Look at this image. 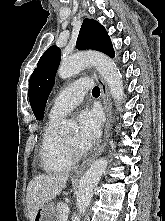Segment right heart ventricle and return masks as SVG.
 Segmentation results:
<instances>
[{
  "instance_id": "e07e8e85",
  "label": "right heart ventricle",
  "mask_w": 165,
  "mask_h": 221,
  "mask_svg": "<svg viewBox=\"0 0 165 221\" xmlns=\"http://www.w3.org/2000/svg\"><path fill=\"white\" fill-rule=\"evenodd\" d=\"M59 120L60 118H49L42 134L39 160L41 168L47 173L68 172L75 164L58 131Z\"/></svg>"
}]
</instances>
